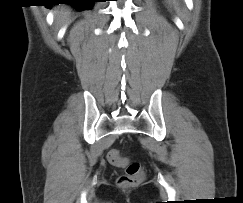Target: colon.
<instances>
[{
  "label": "colon",
  "mask_w": 243,
  "mask_h": 203,
  "mask_svg": "<svg viewBox=\"0 0 243 203\" xmlns=\"http://www.w3.org/2000/svg\"><path fill=\"white\" fill-rule=\"evenodd\" d=\"M108 158L113 164L125 168V173L117 179V183L120 187L128 188L135 186L143 179V171L138 162H127L119 151L115 149L109 151Z\"/></svg>",
  "instance_id": "obj_1"
}]
</instances>
